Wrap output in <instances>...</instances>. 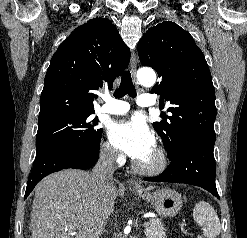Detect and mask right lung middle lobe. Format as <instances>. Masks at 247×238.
<instances>
[{
    "instance_id": "right-lung-middle-lobe-1",
    "label": "right lung middle lobe",
    "mask_w": 247,
    "mask_h": 238,
    "mask_svg": "<svg viewBox=\"0 0 247 238\" xmlns=\"http://www.w3.org/2000/svg\"><path fill=\"white\" fill-rule=\"evenodd\" d=\"M89 114L61 116L38 123L36 136V157L60 147L92 149L102 136V129H96L98 120H91Z\"/></svg>"
}]
</instances>
